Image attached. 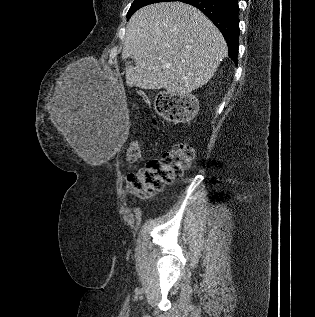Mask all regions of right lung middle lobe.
Returning <instances> with one entry per match:
<instances>
[{
	"label": "right lung middle lobe",
	"instance_id": "right-lung-middle-lobe-1",
	"mask_svg": "<svg viewBox=\"0 0 315 317\" xmlns=\"http://www.w3.org/2000/svg\"><path fill=\"white\" fill-rule=\"evenodd\" d=\"M169 1H177V0H134L132 3L128 13H127V19H129L134 12H136L139 8L152 4V3H158V2H169Z\"/></svg>",
	"mask_w": 315,
	"mask_h": 317
}]
</instances>
